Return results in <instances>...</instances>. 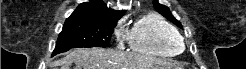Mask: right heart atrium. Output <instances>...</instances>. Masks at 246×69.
<instances>
[{
    "mask_svg": "<svg viewBox=\"0 0 246 69\" xmlns=\"http://www.w3.org/2000/svg\"><path fill=\"white\" fill-rule=\"evenodd\" d=\"M113 34H114V37H115V40H116L117 44L119 46H122L123 45V42L125 41L126 36H127L126 29L124 28L122 22H119L115 26V28L113 30Z\"/></svg>",
    "mask_w": 246,
    "mask_h": 69,
    "instance_id": "1",
    "label": "right heart atrium"
}]
</instances>
